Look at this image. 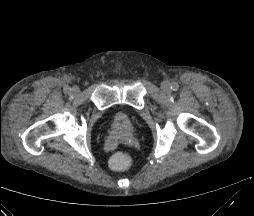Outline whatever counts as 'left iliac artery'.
Here are the masks:
<instances>
[{
    "label": "left iliac artery",
    "instance_id": "obj_1",
    "mask_svg": "<svg viewBox=\"0 0 254 216\" xmlns=\"http://www.w3.org/2000/svg\"><path fill=\"white\" fill-rule=\"evenodd\" d=\"M178 88H179L178 83H176V82L172 83V85H171V89H172L173 91L178 90Z\"/></svg>",
    "mask_w": 254,
    "mask_h": 216
}]
</instances>
